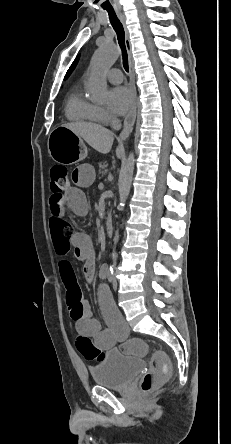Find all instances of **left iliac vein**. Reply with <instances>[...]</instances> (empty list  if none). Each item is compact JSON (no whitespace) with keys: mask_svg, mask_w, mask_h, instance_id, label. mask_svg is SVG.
Wrapping results in <instances>:
<instances>
[{"mask_svg":"<svg viewBox=\"0 0 231 444\" xmlns=\"http://www.w3.org/2000/svg\"><path fill=\"white\" fill-rule=\"evenodd\" d=\"M113 288H114V289H117V282H116V280H114Z\"/></svg>","mask_w":231,"mask_h":444,"instance_id":"obj_1","label":"left iliac vein"}]
</instances>
